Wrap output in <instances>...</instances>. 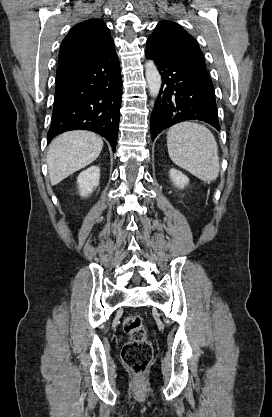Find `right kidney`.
<instances>
[{
  "instance_id": "right-kidney-1",
  "label": "right kidney",
  "mask_w": 272,
  "mask_h": 417,
  "mask_svg": "<svg viewBox=\"0 0 272 417\" xmlns=\"http://www.w3.org/2000/svg\"><path fill=\"white\" fill-rule=\"evenodd\" d=\"M99 179L100 168L98 166H92L81 172L77 178L80 195L83 197L89 196L93 189L98 186Z\"/></svg>"
}]
</instances>
